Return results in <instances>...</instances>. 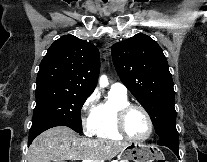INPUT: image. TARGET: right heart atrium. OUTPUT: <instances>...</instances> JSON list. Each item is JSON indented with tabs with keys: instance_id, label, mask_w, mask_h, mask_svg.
Wrapping results in <instances>:
<instances>
[{
	"instance_id": "d8ad5b80",
	"label": "right heart atrium",
	"mask_w": 207,
	"mask_h": 162,
	"mask_svg": "<svg viewBox=\"0 0 207 162\" xmlns=\"http://www.w3.org/2000/svg\"><path fill=\"white\" fill-rule=\"evenodd\" d=\"M97 107V94L91 93L81 106V123L86 135L94 133L95 112Z\"/></svg>"
}]
</instances>
